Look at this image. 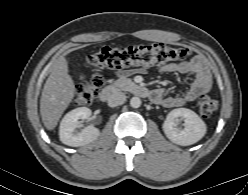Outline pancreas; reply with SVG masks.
<instances>
[{
  "instance_id": "obj_1",
  "label": "pancreas",
  "mask_w": 248,
  "mask_h": 195,
  "mask_svg": "<svg viewBox=\"0 0 248 195\" xmlns=\"http://www.w3.org/2000/svg\"><path fill=\"white\" fill-rule=\"evenodd\" d=\"M114 86L121 90L128 91L134 87L135 84L131 81V79L122 77L114 82Z\"/></svg>"
}]
</instances>
